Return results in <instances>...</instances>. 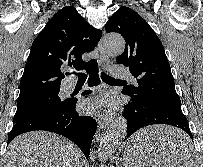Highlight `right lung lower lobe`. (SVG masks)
<instances>
[{
	"label": "right lung lower lobe",
	"mask_w": 203,
	"mask_h": 167,
	"mask_svg": "<svg viewBox=\"0 0 203 167\" xmlns=\"http://www.w3.org/2000/svg\"><path fill=\"white\" fill-rule=\"evenodd\" d=\"M90 73L88 84L96 86L100 83L98 67L88 71ZM90 93L85 91L83 95ZM76 98L67 99V102L59 108L40 112L28 116L14 123L11 132L8 134V143L19 134L44 130L67 137L82 150L88 158L92 138L96 132V121L90 116H81L76 112Z\"/></svg>",
	"instance_id": "obj_1"
}]
</instances>
